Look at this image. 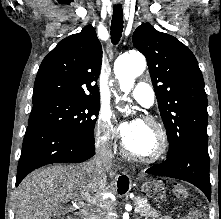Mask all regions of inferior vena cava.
I'll return each instance as SVG.
<instances>
[{"label": "inferior vena cava", "instance_id": "obj_1", "mask_svg": "<svg viewBox=\"0 0 221 219\" xmlns=\"http://www.w3.org/2000/svg\"><path fill=\"white\" fill-rule=\"evenodd\" d=\"M112 150L109 144L101 143L96 147V154L92 160V165L97 174L105 176L112 166Z\"/></svg>", "mask_w": 221, "mask_h": 219}]
</instances>
